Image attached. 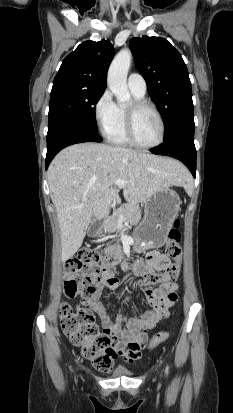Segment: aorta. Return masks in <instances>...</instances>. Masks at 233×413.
I'll return each mask as SVG.
<instances>
[{
	"label": "aorta",
	"instance_id": "obj_1",
	"mask_svg": "<svg viewBox=\"0 0 233 413\" xmlns=\"http://www.w3.org/2000/svg\"><path fill=\"white\" fill-rule=\"evenodd\" d=\"M131 59V52L123 49L114 57L108 70V87L120 103L129 102L131 99L127 86V74L131 65Z\"/></svg>",
	"mask_w": 233,
	"mask_h": 413
}]
</instances>
